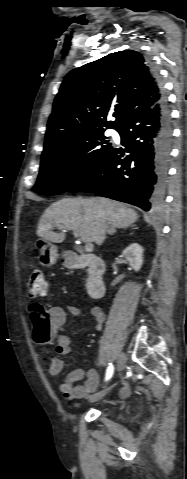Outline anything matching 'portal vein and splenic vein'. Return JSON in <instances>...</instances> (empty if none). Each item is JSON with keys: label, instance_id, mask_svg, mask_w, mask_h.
Wrapping results in <instances>:
<instances>
[{"label": "portal vein and splenic vein", "instance_id": "portal-vein-and-splenic-vein-1", "mask_svg": "<svg viewBox=\"0 0 187 479\" xmlns=\"http://www.w3.org/2000/svg\"><path fill=\"white\" fill-rule=\"evenodd\" d=\"M75 237H78L77 234H75ZM93 250V244L91 242H87L86 245H85V251L86 252H91Z\"/></svg>", "mask_w": 187, "mask_h": 479}]
</instances>
